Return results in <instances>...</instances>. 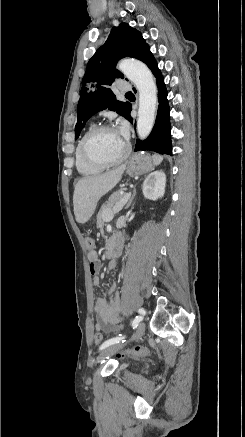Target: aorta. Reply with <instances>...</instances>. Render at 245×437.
<instances>
[{
	"mask_svg": "<svg viewBox=\"0 0 245 437\" xmlns=\"http://www.w3.org/2000/svg\"><path fill=\"white\" fill-rule=\"evenodd\" d=\"M118 69L134 83L139 92L137 132L141 139H145L155 122L157 87L153 75L144 63L135 59L122 60Z\"/></svg>",
	"mask_w": 245,
	"mask_h": 437,
	"instance_id": "obj_1",
	"label": "aorta"
}]
</instances>
